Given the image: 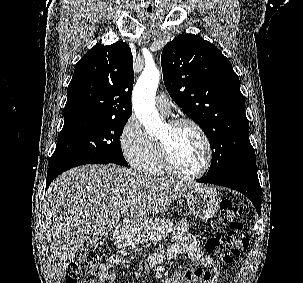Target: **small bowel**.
I'll return each instance as SVG.
<instances>
[{
    "mask_svg": "<svg viewBox=\"0 0 303 283\" xmlns=\"http://www.w3.org/2000/svg\"><path fill=\"white\" fill-rule=\"evenodd\" d=\"M192 223L187 219H182L176 226L175 243L166 248H161L151 259L146 260L142 268H148L152 264L161 262L165 259H173L180 255H188L192 260L197 261L205 275L200 283H217L219 269L215 261L209 255L203 253L198 237L189 232ZM126 261L118 256H109L104 263L99 266L98 279L100 283H109L115 280V275L111 269L118 264H125ZM174 278V277H173ZM173 278L166 283H172Z\"/></svg>",
    "mask_w": 303,
    "mask_h": 283,
    "instance_id": "obj_1",
    "label": "small bowel"
}]
</instances>
